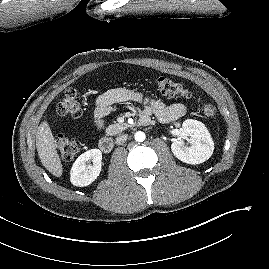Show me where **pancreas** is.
<instances>
[{
  "label": "pancreas",
  "instance_id": "pancreas-1",
  "mask_svg": "<svg viewBox=\"0 0 269 269\" xmlns=\"http://www.w3.org/2000/svg\"><path fill=\"white\" fill-rule=\"evenodd\" d=\"M128 127L129 125L126 123L124 124L115 123V124L109 125L106 128V134L109 136H113L118 133H121L123 130L127 129Z\"/></svg>",
  "mask_w": 269,
  "mask_h": 269
}]
</instances>
